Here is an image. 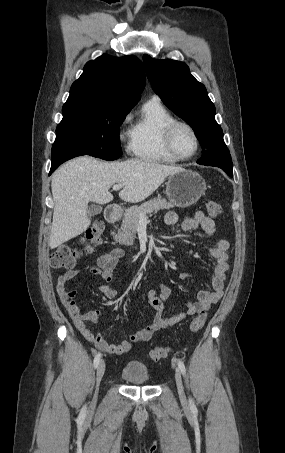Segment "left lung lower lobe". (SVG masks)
<instances>
[{"label": "left lung lower lobe", "mask_w": 285, "mask_h": 453, "mask_svg": "<svg viewBox=\"0 0 285 453\" xmlns=\"http://www.w3.org/2000/svg\"><path fill=\"white\" fill-rule=\"evenodd\" d=\"M225 172H226L229 176H231V177L233 176V170H229V171L225 170Z\"/></svg>", "instance_id": "obj_1"}]
</instances>
